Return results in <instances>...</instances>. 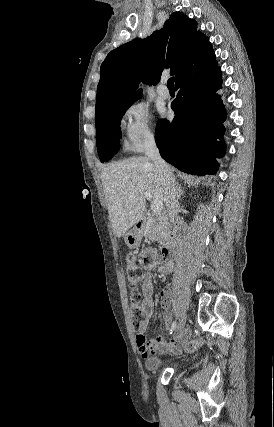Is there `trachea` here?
<instances>
[{
    "label": "trachea",
    "mask_w": 274,
    "mask_h": 427,
    "mask_svg": "<svg viewBox=\"0 0 274 427\" xmlns=\"http://www.w3.org/2000/svg\"><path fill=\"white\" fill-rule=\"evenodd\" d=\"M167 87L170 88H174V78H169L168 82H167Z\"/></svg>",
    "instance_id": "trachea-1"
}]
</instances>
